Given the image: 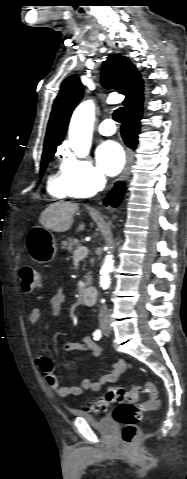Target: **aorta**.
<instances>
[{
	"mask_svg": "<svg viewBox=\"0 0 187 479\" xmlns=\"http://www.w3.org/2000/svg\"><path fill=\"white\" fill-rule=\"evenodd\" d=\"M94 115L95 105L91 100L81 103L72 115L69 126V144L78 157H85L89 154ZM113 263V256L111 254L106 255L100 270V285L103 290L108 289L110 286L109 274L113 269Z\"/></svg>",
	"mask_w": 187,
	"mask_h": 479,
	"instance_id": "obj_1",
	"label": "aorta"
}]
</instances>
